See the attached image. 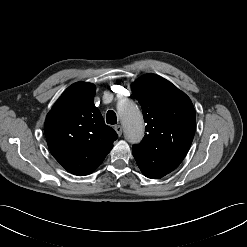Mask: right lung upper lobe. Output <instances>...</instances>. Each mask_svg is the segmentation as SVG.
<instances>
[{
	"label": "right lung upper lobe",
	"instance_id": "obj_1",
	"mask_svg": "<svg viewBox=\"0 0 247 247\" xmlns=\"http://www.w3.org/2000/svg\"><path fill=\"white\" fill-rule=\"evenodd\" d=\"M95 86H69L47 114L44 130L49 150L70 173H92L105 159L117 133L104 122L94 105Z\"/></svg>",
	"mask_w": 247,
	"mask_h": 247
}]
</instances>
